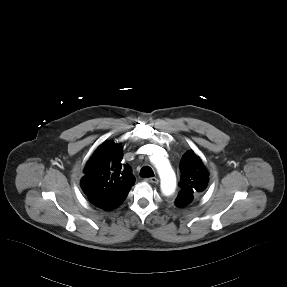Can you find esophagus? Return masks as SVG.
<instances>
[{
  "mask_svg": "<svg viewBox=\"0 0 287 287\" xmlns=\"http://www.w3.org/2000/svg\"><path fill=\"white\" fill-rule=\"evenodd\" d=\"M145 181L149 182V183H155V184H157L159 182L158 178H156V177L146 178Z\"/></svg>",
  "mask_w": 287,
  "mask_h": 287,
  "instance_id": "esophagus-1",
  "label": "esophagus"
}]
</instances>
